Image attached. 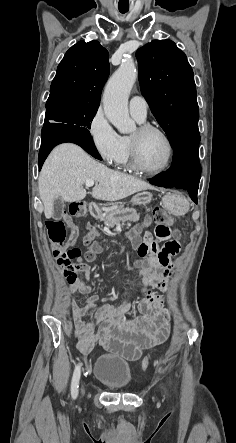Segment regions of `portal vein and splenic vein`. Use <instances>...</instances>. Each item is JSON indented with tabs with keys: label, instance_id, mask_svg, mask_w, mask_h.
Wrapping results in <instances>:
<instances>
[{
	"label": "portal vein and splenic vein",
	"instance_id": "18ae733b",
	"mask_svg": "<svg viewBox=\"0 0 236 443\" xmlns=\"http://www.w3.org/2000/svg\"><path fill=\"white\" fill-rule=\"evenodd\" d=\"M85 185H86L87 188L92 187L94 185V181L93 180H88V181H86Z\"/></svg>",
	"mask_w": 236,
	"mask_h": 443
}]
</instances>
